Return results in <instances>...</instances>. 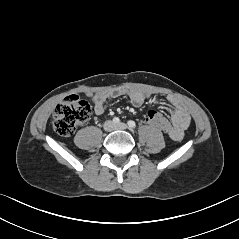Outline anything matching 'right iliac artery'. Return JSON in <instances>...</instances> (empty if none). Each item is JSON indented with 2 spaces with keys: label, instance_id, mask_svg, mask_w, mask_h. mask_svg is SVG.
I'll return each instance as SVG.
<instances>
[{
  "label": "right iliac artery",
  "instance_id": "1",
  "mask_svg": "<svg viewBox=\"0 0 239 239\" xmlns=\"http://www.w3.org/2000/svg\"><path fill=\"white\" fill-rule=\"evenodd\" d=\"M113 122H114L115 124H118V123H120V119H119L118 117H114V118H113Z\"/></svg>",
  "mask_w": 239,
  "mask_h": 239
}]
</instances>
